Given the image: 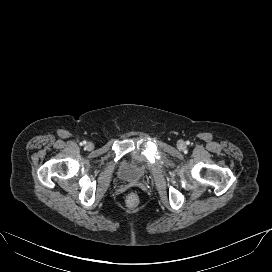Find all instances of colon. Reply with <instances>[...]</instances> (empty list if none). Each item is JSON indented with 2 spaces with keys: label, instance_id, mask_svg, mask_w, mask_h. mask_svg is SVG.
I'll list each match as a JSON object with an SVG mask.
<instances>
[{
  "label": "colon",
  "instance_id": "5ec220e1",
  "mask_svg": "<svg viewBox=\"0 0 272 272\" xmlns=\"http://www.w3.org/2000/svg\"><path fill=\"white\" fill-rule=\"evenodd\" d=\"M140 203V198L137 193H129L126 197V205L129 208H136Z\"/></svg>",
  "mask_w": 272,
  "mask_h": 272
}]
</instances>
